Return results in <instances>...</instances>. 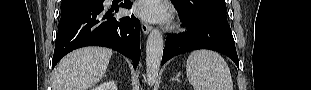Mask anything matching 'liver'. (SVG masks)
<instances>
[{
	"instance_id": "6515ba94",
	"label": "liver",
	"mask_w": 311,
	"mask_h": 90,
	"mask_svg": "<svg viewBox=\"0 0 311 90\" xmlns=\"http://www.w3.org/2000/svg\"><path fill=\"white\" fill-rule=\"evenodd\" d=\"M112 50L85 47L75 50L58 63L52 78L53 90H88L104 76Z\"/></svg>"
}]
</instances>
